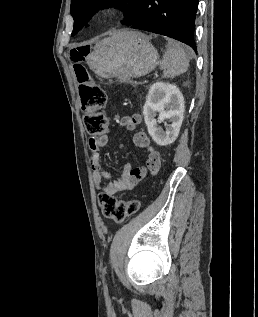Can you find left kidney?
Segmentation results:
<instances>
[{"label": "left kidney", "mask_w": 258, "mask_h": 317, "mask_svg": "<svg viewBox=\"0 0 258 317\" xmlns=\"http://www.w3.org/2000/svg\"><path fill=\"white\" fill-rule=\"evenodd\" d=\"M167 108V110H165ZM159 112L158 118H155ZM184 96L176 84L169 82H154L149 88L146 102L143 106V114L147 130L153 140L165 146L176 140L183 120ZM170 118L171 124H166V130L158 126Z\"/></svg>", "instance_id": "obj_1"}]
</instances>
